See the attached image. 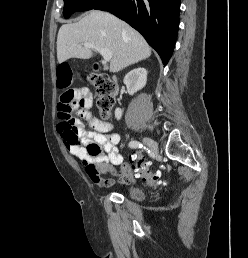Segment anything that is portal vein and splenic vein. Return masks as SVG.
<instances>
[{"instance_id":"portal-vein-and-splenic-vein-1","label":"portal vein and splenic vein","mask_w":248,"mask_h":258,"mask_svg":"<svg viewBox=\"0 0 248 258\" xmlns=\"http://www.w3.org/2000/svg\"><path fill=\"white\" fill-rule=\"evenodd\" d=\"M83 46L86 48L95 49L96 51H98L103 56L105 61H110L112 58V53L107 49L99 48L91 43H84Z\"/></svg>"}]
</instances>
